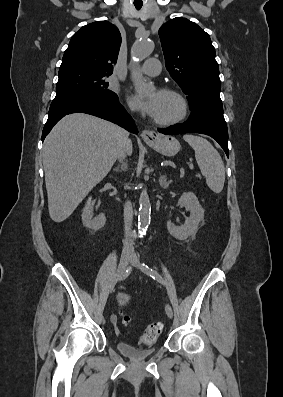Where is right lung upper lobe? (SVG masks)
<instances>
[{
    "instance_id": "obj_1",
    "label": "right lung upper lobe",
    "mask_w": 283,
    "mask_h": 397,
    "mask_svg": "<svg viewBox=\"0 0 283 397\" xmlns=\"http://www.w3.org/2000/svg\"><path fill=\"white\" fill-rule=\"evenodd\" d=\"M121 45V35L108 21L83 26L71 38L64 52L59 77L67 74L109 76Z\"/></svg>"
}]
</instances>
